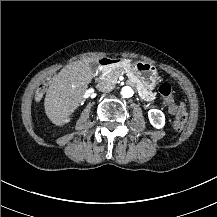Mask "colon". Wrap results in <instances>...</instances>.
I'll use <instances>...</instances> for the list:
<instances>
[{
    "instance_id": "obj_1",
    "label": "colon",
    "mask_w": 217,
    "mask_h": 217,
    "mask_svg": "<svg viewBox=\"0 0 217 217\" xmlns=\"http://www.w3.org/2000/svg\"><path fill=\"white\" fill-rule=\"evenodd\" d=\"M159 94L167 101L168 109L174 114L173 126L176 130H182L188 122L187 106L184 103H177L171 98L172 87L169 82H162L158 87ZM42 92L36 94V100H40Z\"/></svg>"
}]
</instances>
